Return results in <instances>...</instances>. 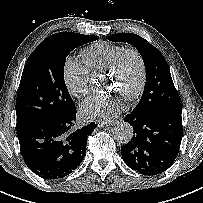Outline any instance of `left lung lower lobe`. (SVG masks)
<instances>
[{
	"label": "left lung lower lobe",
	"instance_id": "1",
	"mask_svg": "<svg viewBox=\"0 0 203 203\" xmlns=\"http://www.w3.org/2000/svg\"><path fill=\"white\" fill-rule=\"evenodd\" d=\"M182 112L126 115L134 130L130 142L121 147L124 162L136 172L154 176L166 171L178 154L182 136Z\"/></svg>",
	"mask_w": 203,
	"mask_h": 203
}]
</instances>
